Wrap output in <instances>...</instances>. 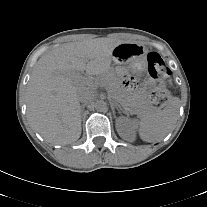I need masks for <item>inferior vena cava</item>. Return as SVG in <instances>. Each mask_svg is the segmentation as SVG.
<instances>
[{
	"label": "inferior vena cava",
	"mask_w": 207,
	"mask_h": 207,
	"mask_svg": "<svg viewBox=\"0 0 207 207\" xmlns=\"http://www.w3.org/2000/svg\"><path fill=\"white\" fill-rule=\"evenodd\" d=\"M95 98L94 91L89 88H83L78 92V100L81 103H89Z\"/></svg>",
	"instance_id": "obj_1"
}]
</instances>
